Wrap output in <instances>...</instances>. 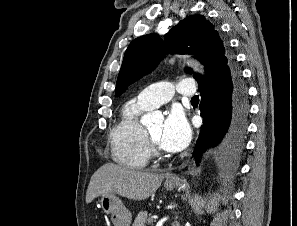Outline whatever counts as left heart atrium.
<instances>
[{"label":"left heart atrium","instance_id":"1","mask_svg":"<svg viewBox=\"0 0 297 226\" xmlns=\"http://www.w3.org/2000/svg\"><path fill=\"white\" fill-rule=\"evenodd\" d=\"M189 125L179 111H172L166 118L159 139L160 147L167 152L183 150L190 141Z\"/></svg>","mask_w":297,"mask_h":226}]
</instances>
